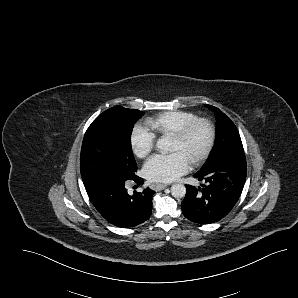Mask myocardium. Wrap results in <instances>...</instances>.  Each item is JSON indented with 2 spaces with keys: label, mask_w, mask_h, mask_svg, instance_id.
<instances>
[{
  "label": "myocardium",
  "mask_w": 298,
  "mask_h": 298,
  "mask_svg": "<svg viewBox=\"0 0 298 298\" xmlns=\"http://www.w3.org/2000/svg\"><path fill=\"white\" fill-rule=\"evenodd\" d=\"M201 126L204 131V140L201 148L197 153L190 159L189 165L192 166L200 161L209 151L212 142V127L210 122L205 118H197L188 123L182 124L163 136L164 140H179L188 135L194 128Z\"/></svg>",
  "instance_id": "f54148a6"
}]
</instances>
